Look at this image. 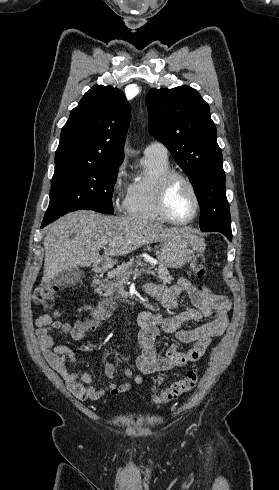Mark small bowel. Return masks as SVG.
Segmentation results:
<instances>
[{
    "mask_svg": "<svg viewBox=\"0 0 279 490\" xmlns=\"http://www.w3.org/2000/svg\"><path fill=\"white\" fill-rule=\"evenodd\" d=\"M147 293L167 310L178 307V299L186 293L193 304V308L180 311L170 317L159 313L144 311L138 314L137 324L140 328L138 340L141 345V354L137 359V366L144 374L175 367H184L190 362L199 360L214 338L222 336L229 324L230 300L222 295L212 293L206 287H197L186 278H181L172 286L149 285ZM213 316L210 322L192 329H181L189 321L201 322ZM101 323L97 317H89L74 323L59 322L49 314L38 317L35 321L36 341L45 359L51 367L64 379L68 390L78 399L97 400L105 394L119 395L130 389V384H115L109 382L98 389L93 385V378L86 372H71L67 361L74 363L76 356L67 345L55 344L51 336L52 330H60L70 336L74 341H82L87 334L96 331ZM175 333L178 340L191 344L187 352H180L177 346L168 348L165 357L157 356L155 340L159 332ZM106 376L112 380L116 371L113 364L107 362L104 367ZM127 377H132L129 368L124 369ZM134 382L139 384L142 377L137 376Z\"/></svg>",
    "mask_w": 279,
    "mask_h": 490,
    "instance_id": "1",
    "label": "small bowel"
}]
</instances>
